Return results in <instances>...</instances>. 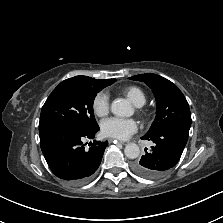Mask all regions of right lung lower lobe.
Here are the masks:
<instances>
[{
  "label": "right lung lower lobe",
  "mask_w": 223,
  "mask_h": 223,
  "mask_svg": "<svg viewBox=\"0 0 223 223\" xmlns=\"http://www.w3.org/2000/svg\"><path fill=\"white\" fill-rule=\"evenodd\" d=\"M98 130L99 127L88 130L61 124L39 131L41 150L57 177L72 184L87 182L92 177L108 143L94 141L86 148L83 140L94 138Z\"/></svg>",
  "instance_id": "right-lung-lower-lobe-1"
}]
</instances>
